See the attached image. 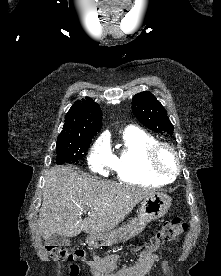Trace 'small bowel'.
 Returning <instances> with one entry per match:
<instances>
[{
	"instance_id": "1",
	"label": "small bowel",
	"mask_w": 221,
	"mask_h": 276,
	"mask_svg": "<svg viewBox=\"0 0 221 276\" xmlns=\"http://www.w3.org/2000/svg\"><path fill=\"white\" fill-rule=\"evenodd\" d=\"M134 251H139L138 247ZM119 255H111L100 257L92 254V257L87 261V265L93 276H145L151 267L159 261L156 253V248L147 246L139 255L138 260L129 267L117 269ZM162 272L168 274L169 267L165 261L160 262Z\"/></svg>"
}]
</instances>
